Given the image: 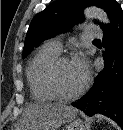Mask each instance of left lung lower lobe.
I'll return each mask as SVG.
<instances>
[{
  "label": "left lung lower lobe",
  "instance_id": "1",
  "mask_svg": "<svg viewBox=\"0 0 123 130\" xmlns=\"http://www.w3.org/2000/svg\"><path fill=\"white\" fill-rule=\"evenodd\" d=\"M104 31V69L96 77L84 98L72 106L88 116L103 114L123 129V11H117Z\"/></svg>",
  "mask_w": 123,
  "mask_h": 130
}]
</instances>
